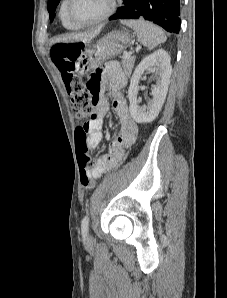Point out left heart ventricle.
<instances>
[{
  "instance_id": "left-heart-ventricle-1",
  "label": "left heart ventricle",
  "mask_w": 227,
  "mask_h": 298,
  "mask_svg": "<svg viewBox=\"0 0 227 298\" xmlns=\"http://www.w3.org/2000/svg\"><path fill=\"white\" fill-rule=\"evenodd\" d=\"M109 0H72L70 11L75 20L86 22L102 15Z\"/></svg>"
}]
</instances>
